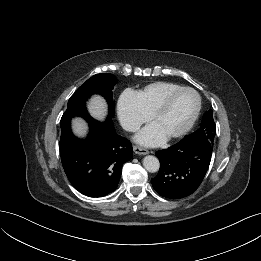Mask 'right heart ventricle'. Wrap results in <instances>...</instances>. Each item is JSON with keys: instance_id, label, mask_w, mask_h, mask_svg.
I'll return each instance as SVG.
<instances>
[{"instance_id": "e07e8e85", "label": "right heart ventricle", "mask_w": 261, "mask_h": 261, "mask_svg": "<svg viewBox=\"0 0 261 261\" xmlns=\"http://www.w3.org/2000/svg\"><path fill=\"white\" fill-rule=\"evenodd\" d=\"M182 86L168 81H157L134 92V96L142 111L150 116L164 97Z\"/></svg>"}]
</instances>
